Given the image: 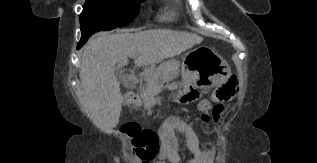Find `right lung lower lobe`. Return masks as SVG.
Returning a JSON list of instances; mask_svg holds the SVG:
<instances>
[{
	"label": "right lung lower lobe",
	"instance_id": "right-lung-lower-lobe-1",
	"mask_svg": "<svg viewBox=\"0 0 317 163\" xmlns=\"http://www.w3.org/2000/svg\"><path fill=\"white\" fill-rule=\"evenodd\" d=\"M83 44H84L83 42H79L78 46H77V49H79Z\"/></svg>",
	"mask_w": 317,
	"mask_h": 163
}]
</instances>
